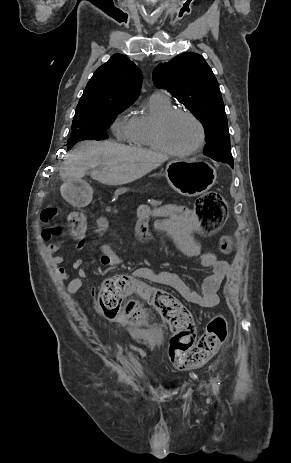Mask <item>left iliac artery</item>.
<instances>
[{"mask_svg": "<svg viewBox=\"0 0 291 463\" xmlns=\"http://www.w3.org/2000/svg\"><path fill=\"white\" fill-rule=\"evenodd\" d=\"M213 390H214V393H215V394H217V393H218V391H219V387H218V385H217V384H214V385H213Z\"/></svg>", "mask_w": 291, "mask_h": 463, "instance_id": "44dca946", "label": "left iliac artery"}]
</instances>
